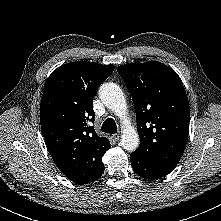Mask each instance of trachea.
Listing matches in <instances>:
<instances>
[{"label":"trachea","instance_id":"1","mask_svg":"<svg viewBox=\"0 0 221 221\" xmlns=\"http://www.w3.org/2000/svg\"><path fill=\"white\" fill-rule=\"evenodd\" d=\"M101 131L105 133L114 134L117 132V126L115 121L112 118H108L104 121L101 127Z\"/></svg>","mask_w":221,"mask_h":221}]
</instances>
